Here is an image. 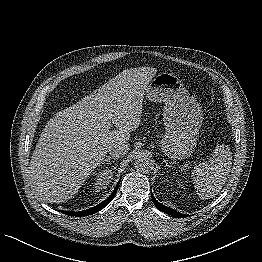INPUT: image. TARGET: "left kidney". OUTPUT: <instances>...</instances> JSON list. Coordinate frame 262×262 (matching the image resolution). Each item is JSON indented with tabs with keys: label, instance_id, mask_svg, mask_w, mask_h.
Segmentation results:
<instances>
[{
	"label": "left kidney",
	"instance_id": "1",
	"mask_svg": "<svg viewBox=\"0 0 262 262\" xmlns=\"http://www.w3.org/2000/svg\"><path fill=\"white\" fill-rule=\"evenodd\" d=\"M177 185H178V187H181V188L183 187L181 182H179V181L177 182Z\"/></svg>",
	"mask_w": 262,
	"mask_h": 262
}]
</instances>
